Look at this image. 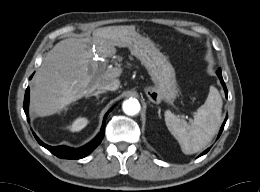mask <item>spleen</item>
<instances>
[{"mask_svg":"<svg viewBox=\"0 0 260 192\" xmlns=\"http://www.w3.org/2000/svg\"><path fill=\"white\" fill-rule=\"evenodd\" d=\"M222 105L218 90L211 86L205 103L194 113L190 124L170 110L165 111L166 126L184 154L197 153L211 142L222 123Z\"/></svg>","mask_w":260,"mask_h":192,"instance_id":"obj_1","label":"spleen"}]
</instances>
